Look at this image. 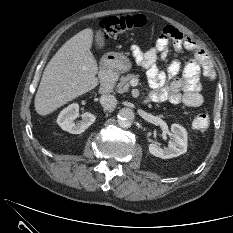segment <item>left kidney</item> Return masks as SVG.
<instances>
[{
	"mask_svg": "<svg viewBox=\"0 0 233 233\" xmlns=\"http://www.w3.org/2000/svg\"><path fill=\"white\" fill-rule=\"evenodd\" d=\"M171 131L174 139L169 141L167 148H161L155 143L148 145L149 152L162 159H170L178 157L187 152V131L184 127L179 124H172Z\"/></svg>",
	"mask_w": 233,
	"mask_h": 233,
	"instance_id": "left-kidney-1",
	"label": "left kidney"
}]
</instances>
